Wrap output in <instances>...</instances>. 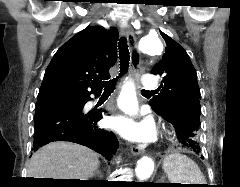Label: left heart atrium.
<instances>
[{
    "label": "left heart atrium",
    "mask_w": 240,
    "mask_h": 187,
    "mask_svg": "<svg viewBox=\"0 0 240 187\" xmlns=\"http://www.w3.org/2000/svg\"><path fill=\"white\" fill-rule=\"evenodd\" d=\"M111 124L130 140L149 141L154 137V124L151 120L136 123L126 118H118L112 121Z\"/></svg>",
    "instance_id": "obj_1"
}]
</instances>
